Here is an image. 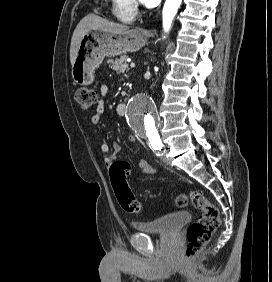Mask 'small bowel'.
Returning a JSON list of instances; mask_svg holds the SVG:
<instances>
[{"label":"small bowel","mask_w":272,"mask_h":282,"mask_svg":"<svg viewBox=\"0 0 272 282\" xmlns=\"http://www.w3.org/2000/svg\"><path fill=\"white\" fill-rule=\"evenodd\" d=\"M107 91H108L107 86L103 84L100 88L101 95L105 96L107 94ZM103 112H104V101L101 100L96 109V112L91 117V122L93 124H98ZM129 140L131 142H134L136 141V137L129 136ZM112 150H113L112 154H109V145L106 143H103L101 145V151L103 153L104 162L106 165H111L115 161L117 153L120 151V146L117 142H114L112 144ZM123 163L127 167V171H128L129 164L127 162H123ZM139 167L144 174H152L154 172V169L149 165V163L145 159L139 161Z\"/></svg>","instance_id":"small-bowel-1"}]
</instances>
